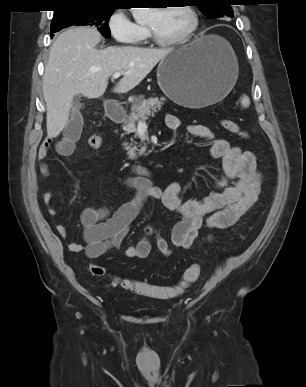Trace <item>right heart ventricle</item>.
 I'll return each mask as SVG.
<instances>
[{
	"instance_id": "obj_1",
	"label": "right heart ventricle",
	"mask_w": 306,
	"mask_h": 387,
	"mask_svg": "<svg viewBox=\"0 0 306 387\" xmlns=\"http://www.w3.org/2000/svg\"><path fill=\"white\" fill-rule=\"evenodd\" d=\"M144 29H145V28H144ZM145 31H146V29H145ZM146 35H147V31H146V34H145L144 38L146 37Z\"/></svg>"
}]
</instances>
